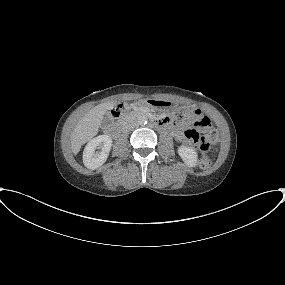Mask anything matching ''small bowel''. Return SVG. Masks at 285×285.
<instances>
[{"label": "small bowel", "mask_w": 285, "mask_h": 285, "mask_svg": "<svg viewBox=\"0 0 285 285\" xmlns=\"http://www.w3.org/2000/svg\"><path fill=\"white\" fill-rule=\"evenodd\" d=\"M195 113L196 114H200V111L196 110ZM175 138H176L177 141H180V142L185 140L184 134H183V132L181 130H176Z\"/></svg>", "instance_id": "1"}]
</instances>
